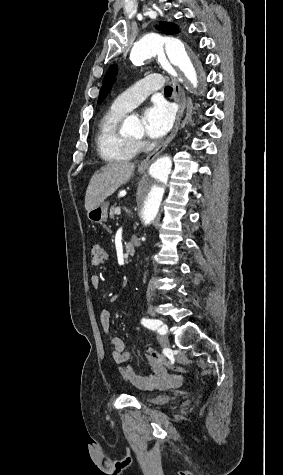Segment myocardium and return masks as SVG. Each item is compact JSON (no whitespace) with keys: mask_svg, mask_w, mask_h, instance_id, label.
I'll use <instances>...</instances> for the list:
<instances>
[{"mask_svg":"<svg viewBox=\"0 0 283 475\" xmlns=\"http://www.w3.org/2000/svg\"><path fill=\"white\" fill-rule=\"evenodd\" d=\"M128 139L130 140L131 143H133L134 145L140 140V138H137V139H134V138H129Z\"/></svg>","mask_w":283,"mask_h":475,"instance_id":"obj_1","label":"myocardium"}]
</instances>
